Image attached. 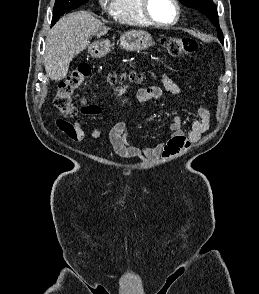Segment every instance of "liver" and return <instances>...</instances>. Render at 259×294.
<instances>
[{
    "instance_id": "1",
    "label": "liver",
    "mask_w": 259,
    "mask_h": 294,
    "mask_svg": "<svg viewBox=\"0 0 259 294\" xmlns=\"http://www.w3.org/2000/svg\"><path fill=\"white\" fill-rule=\"evenodd\" d=\"M108 30L109 27L87 11L63 16L46 37L44 66L50 79H64L72 59L88 46L89 37L104 35Z\"/></svg>"
}]
</instances>
